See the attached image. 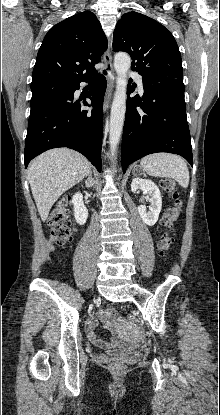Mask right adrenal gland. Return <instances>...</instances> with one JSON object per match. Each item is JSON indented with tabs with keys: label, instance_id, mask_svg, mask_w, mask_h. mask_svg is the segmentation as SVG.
<instances>
[{
	"label": "right adrenal gland",
	"instance_id": "obj_1",
	"mask_svg": "<svg viewBox=\"0 0 220 415\" xmlns=\"http://www.w3.org/2000/svg\"><path fill=\"white\" fill-rule=\"evenodd\" d=\"M89 180L93 181L92 172H90V174H89Z\"/></svg>",
	"mask_w": 220,
	"mask_h": 415
}]
</instances>
